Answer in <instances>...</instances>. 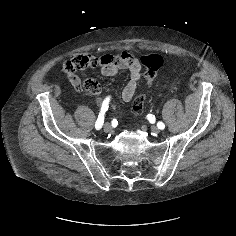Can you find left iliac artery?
<instances>
[{
	"label": "left iliac artery",
	"instance_id": "44dca946",
	"mask_svg": "<svg viewBox=\"0 0 236 236\" xmlns=\"http://www.w3.org/2000/svg\"><path fill=\"white\" fill-rule=\"evenodd\" d=\"M157 126L159 129L163 130L165 128V124L163 122H158Z\"/></svg>",
	"mask_w": 236,
	"mask_h": 236
}]
</instances>
